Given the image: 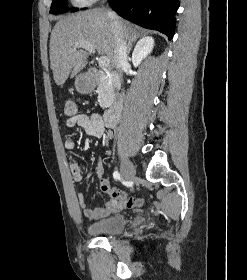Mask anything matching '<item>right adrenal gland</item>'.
Here are the masks:
<instances>
[{
	"label": "right adrenal gland",
	"instance_id": "1",
	"mask_svg": "<svg viewBox=\"0 0 247 280\" xmlns=\"http://www.w3.org/2000/svg\"><path fill=\"white\" fill-rule=\"evenodd\" d=\"M139 37H140V35H139L138 33H135L131 38H129V42H128V54L131 53L132 44L135 43Z\"/></svg>",
	"mask_w": 247,
	"mask_h": 280
}]
</instances>
